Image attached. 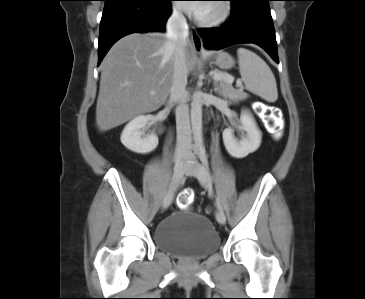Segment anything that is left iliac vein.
Returning <instances> with one entry per match:
<instances>
[{
	"instance_id": "left-iliac-vein-1",
	"label": "left iliac vein",
	"mask_w": 365,
	"mask_h": 299,
	"mask_svg": "<svg viewBox=\"0 0 365 299\" xmlns=\"http://www.w3.org/2000/svg\"><path fill=\"white\" fill-rule=\"evenodd\" d=\"M186 173L193 175L203 187L210 189L211 179L209 173L202 164L196 161L189 163L186 167ZM216 219L220 224L226 223V216L222 210H217Z\"/></svg>"
}]
</instances>
